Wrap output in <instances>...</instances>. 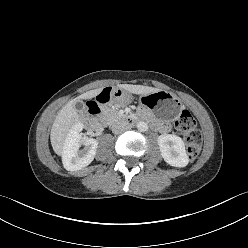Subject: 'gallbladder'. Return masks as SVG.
Returning a JSON list of instances; mask_svg holds the SVG:
<instances>
[{
  "mask_svg": "<svg viewBox=\"0 0 248 248\" xmlns=\"http://www.w3.org/2000/svg\"><path fill=\"white\" fill-rule=\"evenodd\" d=\"M75 107L77 108L78 111H82L84 109V103L82 101H78L75 104Z\"/></svg>",
  "mask_w": 248,
  "mask_h": 248,
  "instance_id": "1",
  "label": "gallbladder"
}]
</instances>
